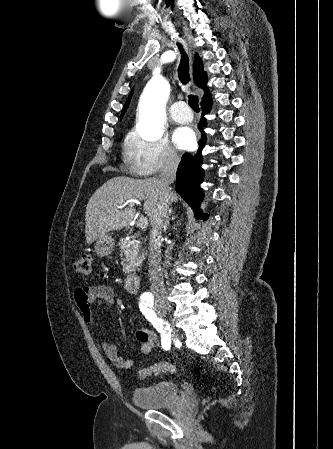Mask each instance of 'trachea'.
<instances>
[{
  "label": "trachea",
  "instance_id": "1",
  "mask_svg": "<svg viewBox=\"0 0 333 449\" xmlns=\"http://www.w3.org/2000/svg\"><path fill=\"white\" fill-rule=\"evenodd\" d=\"M177 45L181 53V62L178 68V76L182 84L185 85L190 81L188 56L184 52L182 45L180 43H177ZM188 104L194 111L200 110L197 96L190 95Z\"/></svg>",
  "mask_w": 333,
  "mask_h": 449
}]
</instances>
